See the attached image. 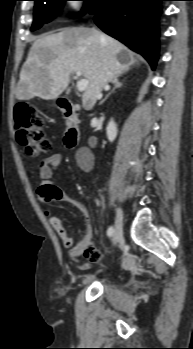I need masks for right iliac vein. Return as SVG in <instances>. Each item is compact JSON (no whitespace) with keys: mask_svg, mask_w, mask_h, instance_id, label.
I'll use <instances>...</instances> for the list:
<instances>
[{"mask_svg":"<svg viewBox=\"0 0 193 349\" xmlns=\"http://www.w3.org/2000/svg\"><path fill=\"white\" fill-rule=\"evenodd\" d=\"M122 232H123V212H122V209L119 208L117 210L116 224H115L113 237H112V242L114 245L121 240Z\"/></svg>","mask_w":193,"mask_h":349,"instance_id":"obj_1","label":"right iliac vein"}]
</instances>
